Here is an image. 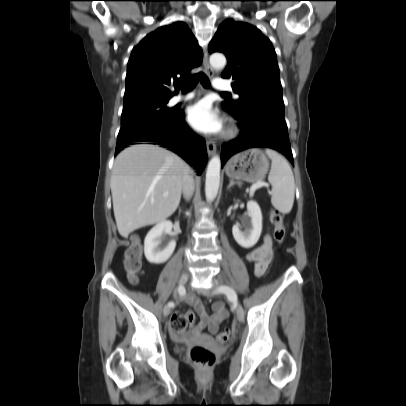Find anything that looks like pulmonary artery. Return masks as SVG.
Wrapping results in <instances>:
<instances>
[{"mask_svg":"<svg viewBox=\"0 0 406 406\" xmlns=\"http://www.w3.org/2000/svg\"><path fill=\"white\" fill-rule=\"evenodd\" d=\"M214 89L219 90V91H224V90H231V83L227 79H222V78H217L214 81ZM193 93H188L185 95H176L172 98L171 104L175 105L181 102H185L190 100L193 97Z\"/></svg>","mask_w":406,"mask_h":406,"instance_id":"1","label":"pulmonary artery"}]
</instances>
